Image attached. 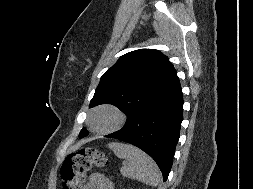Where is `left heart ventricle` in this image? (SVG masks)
I'll return each instance as SVG.
<instances>
[{"label":"left heart ventricle","mask_w":253,"mask_h":189,"mask_svg":"<svg viewBox=\"0 0 253 189\" xmlns=\"http://www.w3.org/2000/svg\"><path fill=\"white\" fill-rule=\"evenodd\" d=\"M114 121L110 112H101L94 119V126L98 129H105L112 125Z\"/></svg>","instance_id":"b2bd125f"}]
</instances>
